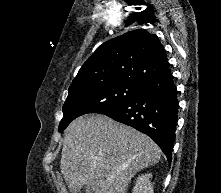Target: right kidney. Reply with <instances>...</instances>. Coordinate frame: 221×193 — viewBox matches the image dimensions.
Listing matches in <instances>:
<instances>
[{"instance_id":"ca27d5eb","label":"right kidney","mask_w":221,"mask_h":193,"mask_svg":"<svg viewBox=\"0 0 221 193\" xmlns=\"http://www.w3.org/2000/svg\"><path fill=\"white\" fill-rule=\"evenodd\" d=\"M151 177V173L139 176L132 193H154L153 185L150 181Z\"/></svg>"}]
</instances>
